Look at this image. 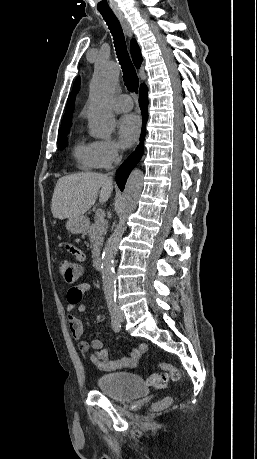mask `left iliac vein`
<instances>
[{"label": "left iliac vein", "mask_w": 257, "mask_h": 459, "mask_svg": "<svg viewBox=\"0 0 257 459\" xmlns=\"http://www.w3.org/2000/svg\"><path fill=\"white\" fill-rule=\"evenodd\" d=\"M119 319L121 322H123L125 320V315H124V312L122 310H119Z\"/></svg>", "instance_id": "left-iliac-vein-1"}]
</instances>
